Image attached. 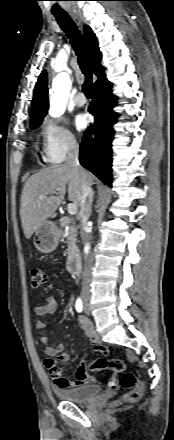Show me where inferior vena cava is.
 I'll return each instance as SVG.
<instances>
[{"label": "inferior vena cava", "mask_w": 174, "mask_h": 440, "mask_svg": "<svg viewBox=\"0 0 174 440\" xmlns=\"http://www.w3.org/2000/svg\"><path fill=\"white\" fill-rule=\"evenodd\" d=\"M79 146L76 143L75 139L70 140L69 142V151L66 157V164L72 166L76 171L80 174L81 179V202H80V213H79V219H80V234L82 241L85 243L89 240L88 233H89V226H88V219L91 214V205H92V196L93 191L91 189L90 184L87 181V175L86 171L81 167L79 163ZM92 262L93 258L92 255H90L86 261V264L84 266L83 274H82V295L87 296L90 294V277H91V270H92Z\"/></svg>", "instance_id": "inferior-vena-cava-1"}]
</instances>
